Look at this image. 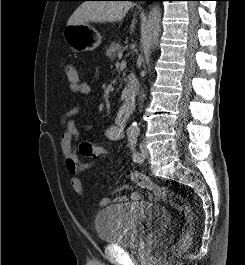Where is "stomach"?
I'll list each match as a JSON object with an SVG mask.
<instances>
[{"label": "stomach", "instance_id": "stomach-1", "mask_svg": "<svg viewBox=\"0 0 245 265\" xmlns=\"http://www.w3.org/2000/svg\"><path fill=\"white\" fill-rule=\"evenodd\" d=\"M63 38L76 53L96 49L102 39L100 33L88 24L67 25L63 30Z\"/></svg>", "mask_w": 245, "mask_h": 265}]
</instances>
